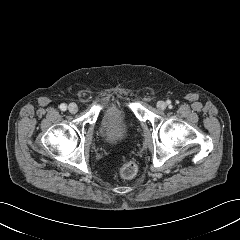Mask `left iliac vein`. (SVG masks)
Instances as JSON below:
<instances>
[{"label":"left iliac vein","instance_id":"1","mask_svg":"<svg viewBox=\"0 0 240 240\" xmlns=\"http://www.w3.org/2000/svg\"><path fill=\"white\" fill-rule=\"evenodd\" d=\"M157 107H158V109H160V110H165V109H166V103H165L164 101H159V102L157 103Z\"/></svg>","mask_w":240,"mask_h":240}]
</instances>
